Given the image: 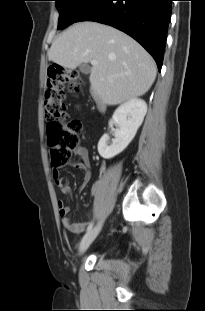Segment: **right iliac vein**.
I'll list each match as a JSON object with an SVG mask.
<instances>
[{
    "label": "right iliac vein",
    "mask_w": 205,
    "mask_h": 311,
    "mask_svg": "<svg viewBox=\"0 0 205 311\" xmlns=\"http://www.w3.org/2000/svg\"><path fill=\"white\" fill-rule=\"evenodd\" d=\"M101 228H102V221H100L86 236L83 237L78 249L79 255H83L86 252V250L98 236Z\"/></svg>",
    "instance_id": "obj_1"
}]
</instances>
